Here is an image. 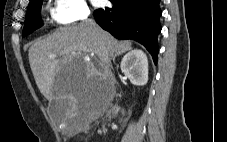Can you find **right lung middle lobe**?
I'll use <instances>...</instances> for the list:
<instances>
[{
	"label": "right lung middle lobe",
	"instance_id": "right-lung-middle-lobe-1",
	"mask_svg": "<svg viewBox=\"0 0 227 142\" xmlns=\"http://www.w3.org/2000/svg\"><path fill=\"white\" fill-rule=\"evenodd\" d=\"M42 2L43 0H35L29 3L22 33L23 37L29 35L43 25L40 17Z\"/></svg>",
	"mask_w": 227,
	"mask_h": 142
}]
</instances>
